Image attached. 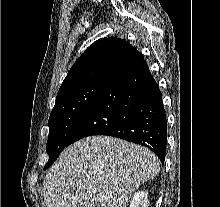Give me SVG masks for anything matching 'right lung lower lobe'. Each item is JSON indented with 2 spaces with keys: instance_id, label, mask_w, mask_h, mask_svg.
Wrapping results in <instances>:
<instances>
[{
  "instance_id": "obj_1",
  "label": "right lung lower lobe",
  "mask_w": 220,
  "mask_h": 207,
  "mask_svg": "<svg viewBox=\"0 0 220 207\" xmlns=\"http://www.w3.org/2000/svg\"><path fill=\"white\" fill-rule=\"evenodd\" d=\"M92 135H109L143 145L164 162L166 114L158 84L144 59L106 79L69 145Z\"/></svg>"
}]
</instances>
